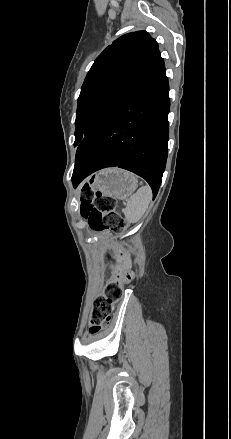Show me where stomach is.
<instances>
[{"label": "stomach", "instance_id": "stomach-1", "mask_svg": "<svg viewBox=\"0 0 231 439\" xmlns=\"http://www.w3.org/2000/svg\"><path fill=\"white\" fill-rule=\"evenodd\" d=\"M92 186L102 195L124 200L137 188L136 177L122 169H104L92 178Z\"/></svg>", "mask_w": 231, "mask_h": 439}]
</instances>
